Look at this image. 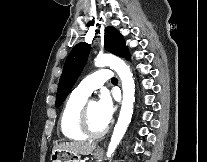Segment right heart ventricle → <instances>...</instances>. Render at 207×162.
<instances>
[{
    "label": "right heart ventricle",
    "mask_w": 207,
    "mask_h": 162,
    "mask_svg": "<svg viewBox=\"0 0 207 162\" xmlns=\"http://www.w3.org/2000/svg\"><path fill=\"white\" fill-rule=\"evenodd\" d=\"M86 100L87 96L74 90L62 109L59 128L63 136L70 140L81 141L86 139V136L78 128V116Z\"/></svg>",
    "instance_id": "obj_1"
}]
</instances>
